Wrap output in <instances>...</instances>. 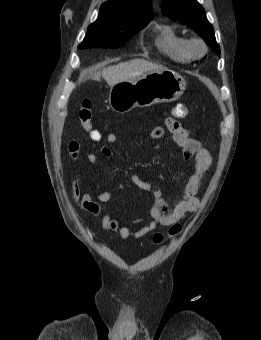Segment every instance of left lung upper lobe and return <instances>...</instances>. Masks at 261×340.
<instances>
[{
  "mask_svg": "<svg viewBox=\"0 0 261 340\" xmlns=\"http://www.w3.org/2000/svg\"><path fill=\"white\" fill-rule=\"evenodd\" d=\"M162 13L193 29L220 56L213 26L207 20L204 8L196 0H163Z\"/></svg>",
  "mask_w": 261,
  "mask_h": 340,
  "instance_id": "5c2ea615",
  "label": "left lung upper lobe"
}]
</instances>
